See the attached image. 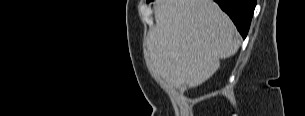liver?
<instances>
[{
	"label": "liver",
	"instance_id": "6515ba94",
	"mask_svg": "<svg viewBox=\"0 0 305 116\" xmlns=\"http://www.w3.org/2000/svg\"><path fill=\"white\" fill-rule=\"evenodd\" d=\"M149 30V70L175 86L196 87L234 55L241 42L213 0H158Z\"/></svg>",
	"mask_w": 305,
	"mask_h": 116
}]
</instances>
